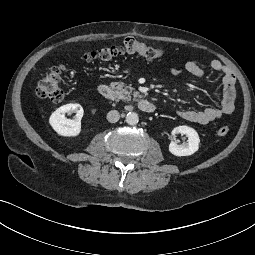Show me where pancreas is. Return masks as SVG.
<instances>
[{"label":"pancreas","mask_w":255,"mask_h":255,"mask_svg":"<svg viewBox=\"0 0 255 255\" xmlns=\"http://www.w3.org/2000/svg\"><path fill=\"white\" fill-rule=\"evenodd\" d=\"M113 86H116L117 93L119 96V99L130 101L131 100V95H133V100L136 101L137 98H141L142 96L140 95L139 92L134 91V89L130 86H126L124 83H112Z\"/></svg>","instance_id":"obj_1"}]
</instances>
